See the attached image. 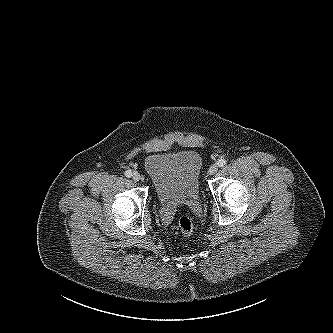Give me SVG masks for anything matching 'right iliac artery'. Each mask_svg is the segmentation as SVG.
I'll list each match as a JSON object with an SVG mask.
<instances>
[{"mask_svg":"<svg viewBox=\"0 0 333 333\" xmlns=\"http://www.w3.org/2000/svg\"><path fill=\"white\" fill-rule=\"evenodd\" d=\"M125 176L128 177V178H130L132 176V171L131 170H127L125 172Z\"/></svg>","mask_w":333,"mask_h":333,"instance_id":"obj_1","label":"right iliac artery"}]
</instances>
